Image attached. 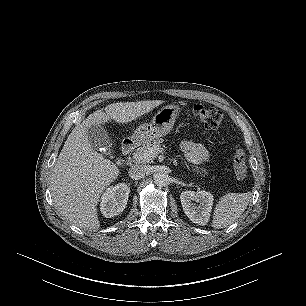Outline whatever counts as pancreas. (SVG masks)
<instances>
[{
    "label": "pancreas",
    "mask_w": 306,
    "mask_h": 306,
    "mask_svg": "<svg viewBox=\"0 0 306 306\" xmlns=\"http://www.w3.org/2000/svg\"><path fill=\"white\" fill-rule=\"evenodd\" d=\"M163 142V139H156L154 140L152 143H148L146 145H143L141 147H139L138 149L135 150L134 152V159L136 160V162L138 163H149L151 162L152 159H145L143 157V155L151 148H156V147H160V144Z\"/></svg>",
    "instance_id": "pancreas-1"
}]
</instances>
